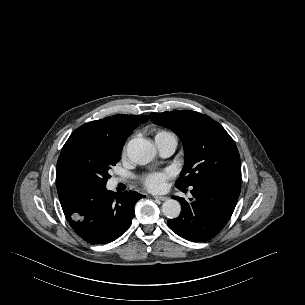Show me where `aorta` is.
Masks as SVG:
<instances>
[{
	"mask_svg": "<svg viewBox=\"0 0 305 305\" xmlns=\"http://www.w3.org/2000/svg\"><path fill=\"white\" fill-rule=\"evenodd\" d=\"M127 155L135 164L145 165L156 155V147L148 140L132 139L127 145ZM162 212L169 219L177 218L181 212V205L177 200L168 199L162 205Z\"/></svg>",
	"mask_w": 305,
	"mask_h": 305,
	"instance_id": "aorta-1",
	"label": "aorta"
}]
</instances>
